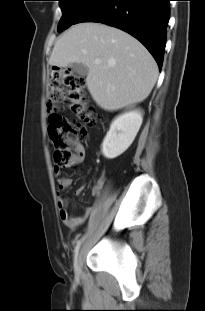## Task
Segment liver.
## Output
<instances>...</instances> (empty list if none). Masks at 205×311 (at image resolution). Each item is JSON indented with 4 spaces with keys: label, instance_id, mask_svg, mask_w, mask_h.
I'll list each match as a JSON object with an SVG mask.
<instances>
[{
    "label": "liver",
    "instance_id": "liver-1",
    "mask_svg": "<svg viewBox=\"0 0 205 311\" xmlns=\"http://www.w3.org/2000/svg\"><path fill=\"white\" fill-rule=\"evenodd\" d=\"M95 59L101 62L96 64ZM87 66V88L107 111L145 100L157 77V64L149 51L128 33L97 22L79 23L55 43L49 64Z\"/></svg>",
    "mask_w": 205,
    "mask_h": 311
}]
</instances>
